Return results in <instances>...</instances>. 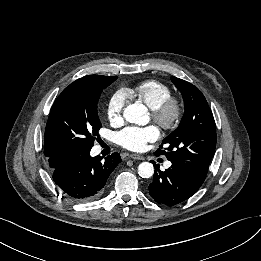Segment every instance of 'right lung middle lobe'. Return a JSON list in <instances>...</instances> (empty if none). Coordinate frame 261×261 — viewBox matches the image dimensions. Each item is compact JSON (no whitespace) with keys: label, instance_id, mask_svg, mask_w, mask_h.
Returning a JSON list of instances; mask_svg holds the SVG:
<instances>
[{"label":"right lung middle lobe","instance_id":"dd1d6c3e","mask_svg":"<svg viewBox=\"0 0 261 261\" xmlns=\"http://www.w3.org/2000/svg\"><path fill=\"white\" fill-rule=\"evenodd\" d=\"M117 77L80 78L55 100L45 129V156H78L91 150L101 128L97 103L104 88Z\"/></svg>","mask_w":261,"mask_h":261}]
</instances>
